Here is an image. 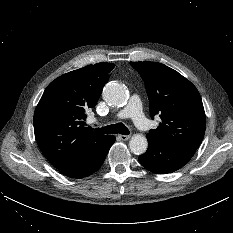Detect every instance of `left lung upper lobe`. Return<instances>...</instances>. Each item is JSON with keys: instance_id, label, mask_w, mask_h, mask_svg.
<instances>
[{"instance_id": "obj_1", "label": "left lung upper lobe", "mask_w": 233, "mask_h": 233, "mask_svg": "<svg viewBox=\"0 0 233 233\" xmlns=\"http://www.w3.org/2000/svg\"><path fill=\"white\" fill-rule=\"evenodd\" d=\"M145 82L150 114L161 123L147 138L159 144L197 149L206 117L196 87L177 71L157 62H130Z\"/></svg>"}]
</instances>
